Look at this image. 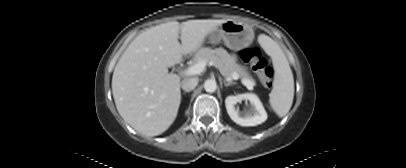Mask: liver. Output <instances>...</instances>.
I'll return each instance as SVG.
<instances>
[{
  "instance_id": "1",
  "label": "liver",
  "mask_w": 406,
  "mask_h": 168,
  "mask_svg": "<svg viewBox=\"0 0 406 168\" xmlns=\"http://www.w3.org/2000/svg\"><path fill=\"white\" fill-rule=\"evenodd\" d=\"M226 21L167 22L129 44L112 76L115 105L126 123L147 136L160 135L171 126L181 102V83L168 68L180 63L183 55L202 50L208 34Z\"/></svg>"
}]
</instances>
